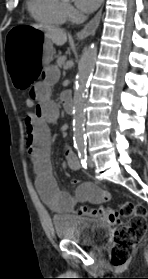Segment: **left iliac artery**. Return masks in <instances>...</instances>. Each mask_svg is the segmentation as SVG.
<instances>
[{"instance_id": "1", "label": "left iliac artery", "mask_w": 148, "mask_h": 279, "mask_svg": "<svg viewBox=\"0 0 148 279\" xmlns=\"http://www.w3.org/2000/svg\"><path fill=\"white\" fill-rule=\"evenodd\" d=\"M78 155L81 160V164L83 168H87V151L86 147H79L78 148Z\"/></svg>"}]
</instances>
